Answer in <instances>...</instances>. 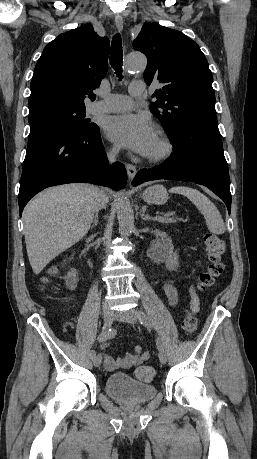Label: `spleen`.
<instances>
[{
	"instance_id": "spleen-1",
	"label": "spleen",
	"mask_w": 257,
	"mask_h": 459,
	"mask_svg": "<svg viewBox=\"0 0 257 459\" xmlns=\"http://www.w3.org/2000/svg\"><path fill=\"white\" fill-rule=\"evenodd\" d=\"M171 192L186 196L204 216L208 230L213 234H224L226 228L222 216L211 200L198 190L186 186H177Z\"/></svg>"
}]
</instances>
